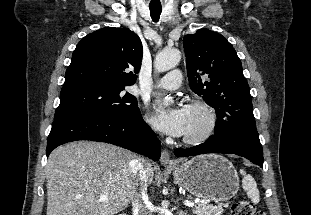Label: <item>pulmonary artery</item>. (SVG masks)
I'll return each instance as SVG.
<instances>
[{
  "label": "pulmonary artery",
  "instance_id": "1",
  "mask_svg": "<svg viewBox=\"0 0 311 215\" xmlns=\"http://www.w3.org/2000/svg\"><path fill=\"white\" fill-rule=\"evenodd\" d=\"M181 83L182 73L180 70L175 69L159 79L154 86L160 89L175 90L180 87Z\"/></svg>",
  "mask_w": 311,
  "mask_h": 215
}]
</instances>
